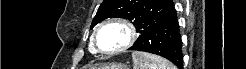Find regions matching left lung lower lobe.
<instances>
[{"instance_id":"left-lung-lower-lobe-1","label":"left lung lower lobe","mask_w":246,"mask_h":69,"mask_svg":"<svg viewBox=\"0 0 246 69\" xmlns=\"http://www.w3.org/2000/svg\"><path fill=\"white\" fill-rule=\"evenodd\" d=\"M182 40L176 12L167 20L146 29L129 50L163 56L183 69Z\"/></svg>"}]
</instances>
